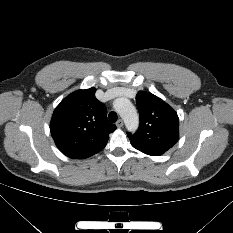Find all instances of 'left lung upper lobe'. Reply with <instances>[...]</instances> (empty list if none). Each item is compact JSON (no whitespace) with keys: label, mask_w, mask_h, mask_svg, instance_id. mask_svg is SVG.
<instances>
[{"label":"left lung upper lobe","mask_w":233,"mask_h":233,"mask_svg":"<svg viewBox=\"0 0 233 233\" xmlns=\"http://www.w3.org/2000/svg\"><path fill=\"white\" fill-rule=\"evenodd\" d=\"M136 103L140 125L135 134H128L131 144L148 155H162L178 141V115L166 102L148 92H138Z\"/></svg>","instance_id":"5c2ea615"}]
</instances>
